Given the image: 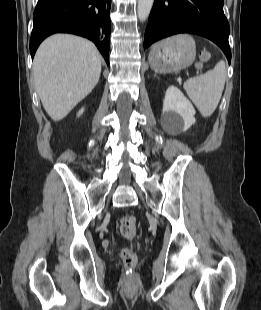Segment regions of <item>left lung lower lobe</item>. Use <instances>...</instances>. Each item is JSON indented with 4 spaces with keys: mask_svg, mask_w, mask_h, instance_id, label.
Segmentation results:
<instances>
[{
    "mask_svg": "<svg viewBox=\"0 0 261 310\" xmlns=\"http://www.w3.org/2000/svg\"><path fill=\"white\" fill-rule=\"evenodd\" d=\"M224 0H155L144 37V49L178 33H194L216 43L231 62L229 23Z\"/></svg>",
    "mask_w": 261,
    "mask_h": 310,
    "instance_id": "1",
    "label": "left lung lower lobe"
}]
</instances>
